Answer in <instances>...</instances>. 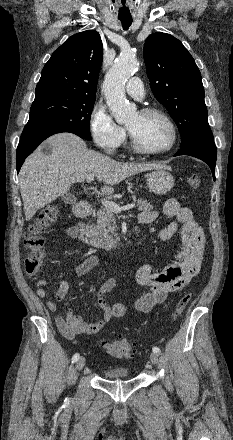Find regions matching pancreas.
Instances as JSON below:
<instances>
[{
    "mask_svg": "<svg viewBox=\"0 0 233 440\" xmlns=\"http://www.w3.org/2000/svg\"><path fill=\"white\" fill-rule=\"evenodd\" d=\"M137 206L139 211L148 212L151 211L154 206L144 200L138 199ZM114 211L109 208H102L97 212V223L93 225L97 237L102 241H112L114 238L117 239V225L115 220Z\"/></svg>",
    "mask_w": 233,
    "mask_h": 440,
    "instance_id": "pancreas-1",
    "label": "pancreas"
}]
</instances>
